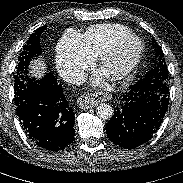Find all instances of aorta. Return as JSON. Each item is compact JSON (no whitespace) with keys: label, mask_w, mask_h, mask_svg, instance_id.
Wrapping results in <instances>:
<instances>
[{"label":"aorta","mask_w":183,"mask_h":183,"mask_svg":"<svg viewBox=\"0 0 183 183\" xmlns=\"http://www.w3.org/2000/svg\"><path fill=\"white\" fill-rule=\"evenodd\" d=\"M97 115L104 120L110 119L113 116V109L107 103H101L97 107Z\"/></svg>","instance_id":"obj_1"}]
</instances>
